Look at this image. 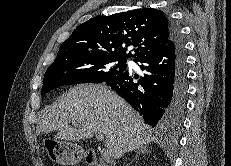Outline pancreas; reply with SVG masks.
Segmentation results:
<instances>
[{
    "label": "pancreas",
    "instance_id": "pancreas-1",
    "mask_svg": "<svg viewBox=\"0 0 231 166\" xmlns=\"http://www.w3.org/2000/svg\"><path fill=\"white\" fill-rule=\"evenodd\" d=\"M98 166H105V165H102V164H101V165H98Z\"/></svg>",
    "mask_w": 231,
    "mask_h": 166
}]
</instances>
